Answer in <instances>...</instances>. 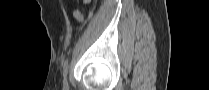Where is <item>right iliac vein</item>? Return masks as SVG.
Segmentation results:
<instances>
[{"label": "right iliac vein", "mask_w": 209, "mask_h": 90, "mask_svg": "<svg viewBox=\"0 0 209 90\" xmlns=\"http://www.w3.org/2000/svg\"><path fill=\"white\" fill-rule=\"evenodd\" d=\"M65 76H66V74H65ZM63 88H64V90H68L69 89L67 78H65V80H64Z\"/></svg>", "instance_id": "1"}]
</instances>
